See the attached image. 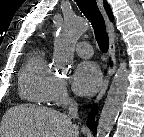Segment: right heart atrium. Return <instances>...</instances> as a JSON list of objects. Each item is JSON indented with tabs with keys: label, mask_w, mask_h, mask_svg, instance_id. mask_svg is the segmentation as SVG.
Wrapping results in <instances>:
<instances>
[{
	"label": "right heart atrium",
	"mask_w": 144,
	"mask_h": 137,
	"mask_svg": "<svg viewBox=\"0 0 144 137\" xmlns=\"http://www.w3.org/2000/svg\"><path fill=\"white\" fill-rule=\"evenodd\" d=\"M51 101L57 106H67L71 102L67 82L63 78L56 79Z\"/></svg>",
	"instance_id": "right-heart-atrium-1"
}]
</instances>
